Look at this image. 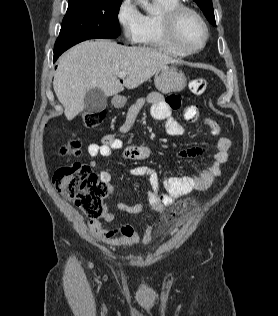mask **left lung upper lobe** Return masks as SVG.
<instances>
[{"label":"left lung upper lobe","mask_w":278,"mask_h":316,"mask_svg":"<svg viewBox=\"0 0 278 316\" xmlns=\"http://www.w3.org/2000/svg\"><path fill=\"white\" fill-rule=\"evenodd\" d=\"M194 1L201 8L204 15L208 19V21L214 26H216L212 1L211 0H194Z\"/></svg>","instance_id":"5c2ea615"}]
</instances>
